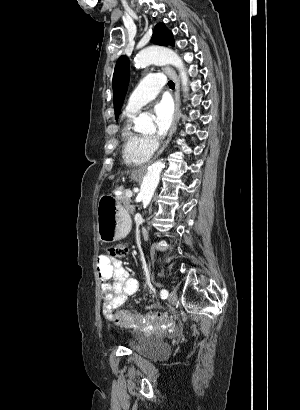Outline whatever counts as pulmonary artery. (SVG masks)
Segmentation results:
<instances>
[{"label": "pulmonary artery", "mask_w": 300, "mask_h": 410, "mask_svg": "<svg viewBox=\"0 0 300 410\" xmlns=\"http://www.w3.org/2000/svg\"><path fill=\"white\" fill-rule=\"evenodd\" d=\"M164 84L165 79L160 73L151 74L143 78L137 89L130 95L126 111H138L143 105L156 97Z\"/></svg>", "instance_id": "pulmonary-artery-1"}]
</instances>
